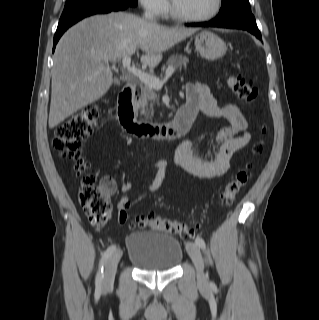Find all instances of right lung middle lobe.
Returning a JSON list of instances; mask_svg holds the SVG:
<instances>
[{
  "instance_id": "1",
  "label": "right lung middle lobe",
  "mask_w": 319,
  "mask_h": 320,
  "mask_svg": "<svg viewBox=\"0 0 319 320\" xmlns=\"http://www.w3.org/2000/svg\"><path fill=\"white\" fill-rule=\"evenodd\" d=\"M109 3L129 4L132 6H136L137 0H66L65 8L60 21H63L85 9Z\"/></svg>"
}]
</instances>
